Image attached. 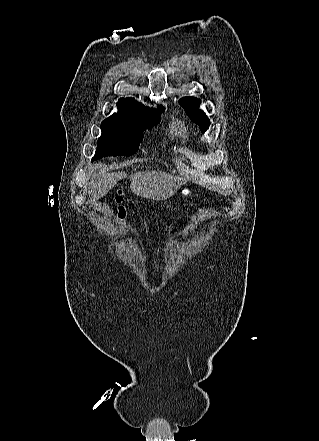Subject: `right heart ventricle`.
<instances>
[{
	"label": "right heart ventricle",
	"instance_id": "right-heart-ventricle-1",
	"mask_svg": "<svg viewBox=\"0 0 319 441\" xmlns=\"http://www.w3.org/2000/svg\"><path fill=\"white\" fill-rule=\"evenodd\" d=\"M175 131H176V133L182 135V134L185 133V127H184L183 125L178 124V125L175 127Z\"/></svg>",
	"mask_w": 319,
	"mask_h": 441
}]
</instances>
